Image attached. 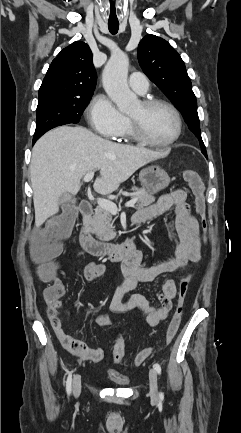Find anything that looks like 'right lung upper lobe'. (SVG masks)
I'll list each match as a JSON object with an SVG mask.
<instances>
[{"label":"right lung upper lobe","instance_id":"right-lung-upper-lobe-1","mask_svg":"<svg viewBox=\"0 0 241 433\" xmlns=\"http://www.w3.org/2000/svg\"><path fill=\"white\" fill-rule=\"evenodd\" d=\"M89 46L81 41L64 48L52 61L39 89V100L49 97L92 96L96 71Z\"/></svg>","mask_w":241,"mask_h":433}]
</instances>
